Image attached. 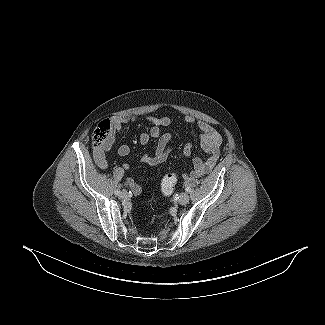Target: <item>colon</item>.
Segmentation results:
<instances>
[{
	"label": "colon",
	"instance_id": "obj_1",
	"mask_svg": "<svg viewBox=\"0 0 325 325\" xmlns=\"http://www.w3.org/2000/svg\"><path fill=\"white\" fill-rule=\"evenodd\" d=\"M111 132V123L107 120L100 122L93 131L92 144L94 147H100L105 143ZM177 174L175 172L167 173L161 182V190L165 196H170L177 182Z\"/></svg>",
	"mask_w": 325,
	"mask_h": 325
}]
</instances>
